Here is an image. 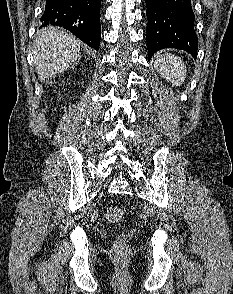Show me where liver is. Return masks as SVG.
I'll use <instances>...</instances> for the list:
<instances>
[{
    "instance_id": "1",
    "label": "liver",
    "mask_w": 233,
    "mask_h": 294,
    "mask_svg": "<svg viewBox=\"0 0 233 294\" xmlns=\"http://www.w3.org/2000/svg\"><path fill=\"white\" fill-rule=\"evenodd\" d=\"M80 53V42L63 30L48 28L36 39L34 64L41 82L67 70Z\"/></svg>"
}]
</instances>
